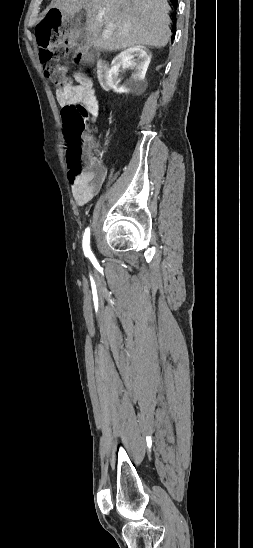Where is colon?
<instances>
[{
  "label": "colon",
  "instance_id": "5ec220e1",
  "mask_svg": "<svg viewBox=\"0 0 253 548\" xmlns=\"http://www.w3.org/2000/svg\"><path fill=\"white\" fill-rule=\"evenodd\" d=\"M63 16L58 10H50L36 27V37L40 49V59L45 75L59 89L67 87L71 80L63 60L69 48L65 45L66 31ZM74 59L87 62L94 57V51L83 43L75 45ZM67 143V163L71 180H77L85 174L98 176L100 165L92 161L86 151L85 130L88 118L87 109L81 104L66 105L62 110Z\"/></svg>",
  "mask_w": 253,
  "mask_h": 548
}]
</instances>
